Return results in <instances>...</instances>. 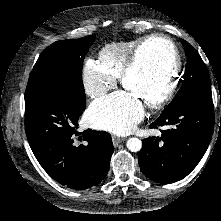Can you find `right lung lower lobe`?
I'll list each match as a JSON object with an SVG mask.
<instances>
[{"instance_id":"obj_1","label":"right lung lower lobe","mask_w":221,"mask_h":221,"mask_svg":"<svg viewBox=\"0 0 221 221\" xmlns=\"http://www.w3.org/2000/svg\"><path fill=\"white\" fill-rule=\"evenodd\" d=\"M85 103L63 84L25 103V129L36 159L51 178L75 190L104 179L114 150L109 133L77 131Z\"/></svg>"}]
</instances>
